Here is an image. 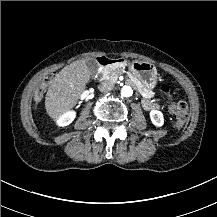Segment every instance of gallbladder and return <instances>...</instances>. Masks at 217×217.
Wrapping results in <instances>:
<instances>
[{"label":"gallbladder","instance_id":"1","mask_svg":"<svg viewBox=\"0 0 217 217\" xmlns=\"http://www.w3.org/2000/svg\"><path fill=\"white\" fill-rule=\"evenodd\" d=\"M86 66L92 75H95L98 72L99 65L95 59H89L86 61Z\"/></svg>","mask_w":217,"mask_h":217}]
</instances>
